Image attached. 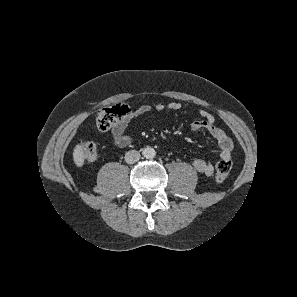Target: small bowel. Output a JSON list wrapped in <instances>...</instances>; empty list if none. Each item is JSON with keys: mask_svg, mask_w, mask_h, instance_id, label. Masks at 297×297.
<instances>
[{"mask_svg": "<svg viewBox=\"0 0 297 297\" xmlns=\"http://www.w3.org/2000/svg\"><path fill=\"white\" fill-rule=\"evenodd\" d=\"M181 107V103L173 101L166 105L157 104L155 106V110L158 112H162L165 109L177 111L180 110ZM150 111V106L142 105L135 110L130 111V113L125 118L115 123L111 128V136L114 144L120 148L129 146L132 142V137L126 132L129 123L134 118L143 116ZM199 116L200 119L195 120L191 123V129L193 131L205 130L209 132L218 144L221 159H231L233 143L230 137L225 133L223 129L216 125L215 118L210 112L202 109L199 111ZM193 166L198 172L204 174L207 177L212 176L214 173V165L206 161L204 158L194 159Z\"/></svg>", "mask_w": 297, "mask_h": 297, "instance_id": "1", "label": "small bowel"}]
</instances>
